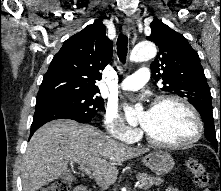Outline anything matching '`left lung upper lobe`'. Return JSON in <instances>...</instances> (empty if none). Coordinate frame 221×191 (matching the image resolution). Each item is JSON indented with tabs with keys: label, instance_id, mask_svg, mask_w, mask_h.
I'll return each mask as SVG.
<instances>
[{
	"label": "left lung upper lobe",
	"instance_id": "obj_1",
	"mask_svg": "<svg viewBox=\"0 0 221 191\" xmlns=\"http://www.w3.org/2000/svg\"><path fill=\"white\" fill-rule=\"evenodd\" d=\"M150 27L152 32L146 39L159 48L157 57L151 63L156 82L162 79V91L186 98L198 110L205 123V136L217 150L212 98L198 53L183 35L159 19L154 18Z\"/></svg>",
	"mask_w": 221,
	"mask_h": 191
}]
</instances>
